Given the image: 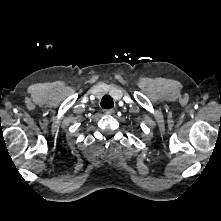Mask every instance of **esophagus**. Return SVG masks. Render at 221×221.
I'll return each mask as SVG.
<instances>
[{
  "instance_id": "obj_1",
  "label": "esophagus",
  "mask_w": 221,
  "mask_h": 221,
  "mask_svg": "<svg viewBox=\"0 0 221 221\" xmlns=\"http://www.w3.org/2000/svg\"><path fill=\"white\" fill-rule=\"evenodd\" d=\"M104 113H105L106 115H111V114L114 113V110H113V109H105V110H104Z\"/></svg>"
}]
</instances>
